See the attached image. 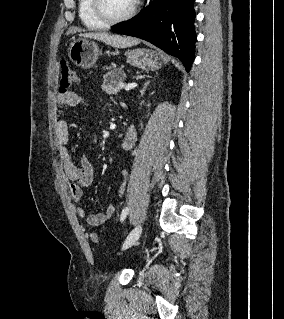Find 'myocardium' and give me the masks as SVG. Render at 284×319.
Listing matches in <instances>:
<instances>
[{
	"label": "myocardium",
	"instance_id": "obj_1",
	"mask_svg": "<svg viewBox=\"0 0 284 319\" xmlns=\"http://www.w3.org/2000/svg\"><path fill=\"white\" fill-rule=\"evenodd\" d=\"M92 9L96 17L106 25L119 24L129 20L135 14L137 0H133L130 9L119 17H111L107 14L104 7V0H92Z\"/></svg>",
	"mask_w": 284,
	"mask_h": 319
}]
</instances>
